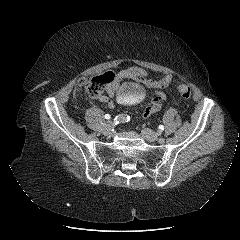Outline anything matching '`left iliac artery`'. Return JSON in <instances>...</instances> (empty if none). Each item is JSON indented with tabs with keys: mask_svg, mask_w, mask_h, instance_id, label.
I'll list each match as a JSON object with an SVG mask.
<instances>
[{
	"mask_svg": "<svg viewBox=\"0 0 240 240\" xmlns=\"http://www.w3.org/2000/svg\"><path fill=\"white\" fill-rule=\"evenodd\" d=\"M157 136H158V138H160V139L163 138V137H164V138H167V137L169 136V133H168L167 131H164L163 133H161V132L158 133Z\"/></svg>",
	"mask_w": 240,
	"mask_h": 240,
	"instance_id": "44dca946",
	"label": "left iliac artery"
}]
</instances>
